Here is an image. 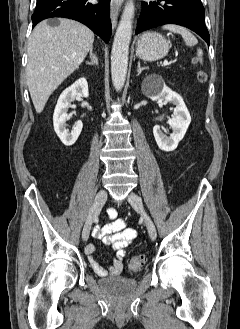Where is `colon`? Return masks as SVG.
I'll use <instances>...</instances> for the list:
<instances>
[{
  "instance_id": "5ec220e1",
  "label": "colon",
  "mask_w": 240,
  "mask_h": 329,
  "mask_svg": "<svg viewBox=\"0 0 240 329\" xmlns=\"http://www.w3.org/2000/svg\"><path fill=\"white\" fill-rule=\"evenodd\" d=\"M198 78L199 80H204L205 79V75L203 72H200L198 74ZM144 260H145V257L144 255L140 254V255H136L134 257H132L129 261V264H128V268L130 271H137L141 268V266L143 265L144 263Z\"/></svg>"
}]
</instances>
